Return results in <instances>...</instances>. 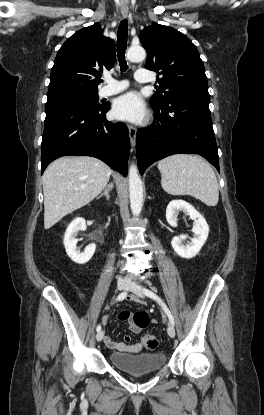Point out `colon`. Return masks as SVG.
Wrapping results in <instances>:
<instances>
[{"instance_id":"5ec220e1","label":"colon","mask_w":264,"mask_h":415,"mask_svg":"<svg viewBox=\"0 0 264 415\" xmlns=\"http://www.w3.org/2000/svg\"><path fill=\"white\" fill-rule=\"evenodd\" d=\"M132 322L138 327V328H144L148 324V318L143 313H134L132 315ZM141 340L143 344V349L147 352H153L158 347V340L155 336H153L150 333H143L141 335Z\"/></svg>"}]
</instances>
